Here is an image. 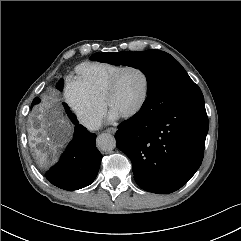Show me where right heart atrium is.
<instances>
[{
    "instance_id": "d8ad5b80",
    "label": "right heart atrium",
    "mask_w": 241,
    "mask_h": 241,
    "mask_svg": "<svg viewBox=\"0 0 241 241\" xmlns=\"http://www.w3.org/2000/svg\"><path fill=\"white\" fill-rule=\"evenodd\" d=\"M65 97L77 119L88 129H95L101 123L105 105L91 96L75 79L66 87Z\"/></svg>"
}]
</instances>
